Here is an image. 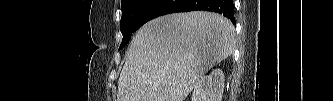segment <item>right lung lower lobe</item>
<instances>
[{"mask_svg": "<svg viewBox=\"0 0 333 101\" xmlns=\"http://www.w3.org/2000/svg\"><path fill=\"white\" fill-rule=\"evenodd\" d=\"M195 10L223 14L235 24L233 0H151L139 16L136 27L165 14Z\"/></svg>", "mask_w": 333, "mask_h": 101, "instance_id": "obj_1", "label": "right lung lower lobe"}]
</instances>
